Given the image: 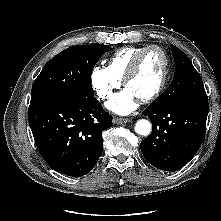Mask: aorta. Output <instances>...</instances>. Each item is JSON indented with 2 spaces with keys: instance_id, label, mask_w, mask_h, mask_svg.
<instances>
[{
  "instance_id": "aorta-1",
  "label": "aorta",
  "mask_w": 221,
  "mask_h": 221,
  "mask_svg": "<svg viewBox=\"0 0 221 221\" xmlns=\"http://www.w3.org/2000/svg\"><path fill=\"white\" fill-rule=\"evenodd\" d=\"M150 131H151V124L148 120L140 119L136 122V125H135L136 133L146 136V135H149Z\"/></svg>"
}]
</instances>
